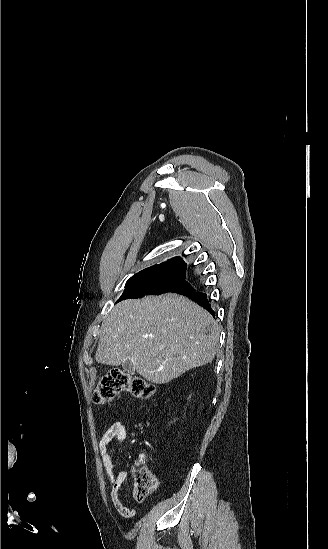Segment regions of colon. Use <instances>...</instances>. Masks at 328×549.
Masks as SVG:
<instances>
[{"label":"colon","instance_id":"colon-1","mask_svg":"<svg viewBox=\"0 0 328 549\" xmlns=\"http://www.w3.org/2000/svg\"><path fill=\"white\" fill-rule=\"evenodd\" d=\"M122 392H128L137 398L149 399L154 396L156 389L141 377L131 375L121 369H111L99 381L92 398L96 404H104ZM132 475L134 479L133 497L142 501L152 492V475L146 467L140 465L133 469Z\"/></svg>","mask_w":328,"mask_h":549}]
</instances>
